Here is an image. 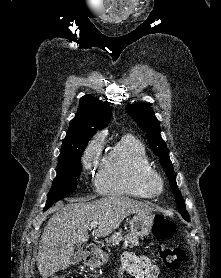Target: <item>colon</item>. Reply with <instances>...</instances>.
Listing matches in <instances>:
<instances>
[{"label": "colon", "mask_w": 221, "mask_h": 278, "mask_svg": "<svg viewBox=\"0 0 221 278\" xmlns=\"http://www.w3.org/2000/svg\"><path fill=\"white\" fill-rule=\"evenodd\" d=\"M175 233L174 223L164 216L157 215L154 218L153 235L155 238L165 240L173 237ZM159 257L162 259L168 270H177L185 258V252L177 246L161 245L158 247ZM48 278H65L62 275H51ZM71 278H84L83 276H73Z\"/></svg>", "instance_id": "obj_1"}]
</instances>
